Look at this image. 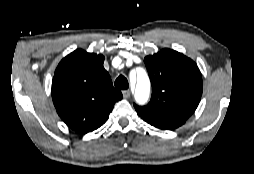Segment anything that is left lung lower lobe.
<instances>
[{"mask_svg":"<svg viewBox=\"0 0 254 174\" xmlns=\"http://www.w3.org/2000/svg\"><path fill=\"white\" fill-rule=\"evenodd\" d=\"M137 113L147 123H149L152 126H155L157 128L163 129V130H173L185 123V121H182V120H174V119H169V118H165V117H160V116H157V115H154L151 113H143V112H138V111H137Z\"/></svg>","mask_w":254,"mask_h":174,"instance_id":"obj_1","label":"left lung lower lobe"}]
</instances>
